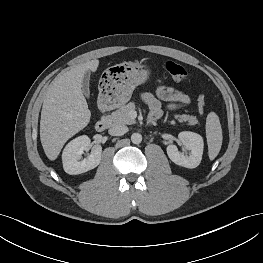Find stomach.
<instances>
[{
  "mask_svg": "<svg viewBox=\"0 0 263 263\" xmlns=\"http://www.w3.org/2000/svg\"><path fill=\"white\" fill-rule=\"evenodd\" d=\"M152 69L141 62H127L111 66L102 75L100 96L114 107L125 104L134 89L145 83Z\"/></svg>",
  "mask_w": 263,
  "mask_h": 263,
  "instance_id": "obj_1",
  "label": "stomach"
}]
</instances>
